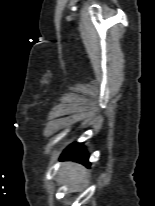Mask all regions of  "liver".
<instances>
[{"mask_svg": "<svg viewBox=\"0 0 155 206\" xmlns=\"http://www.w3.org/2000/svg\"><path fill=\"white\" fill-rule=\"evenodd\" d=\"M64 175L66 181L69 182L71 185L80 183L87 176L85 169H83L81 166L77 164H72V163H68L65 166Z\"/></svg>", "mask_w": 155, "mask_h": 206, "instance_id": "liver-1", "label": "liver"}]
</instances>
